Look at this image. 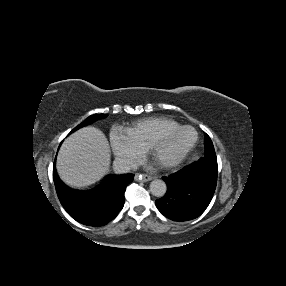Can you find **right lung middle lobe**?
<instances>
[{"instance_id": "dd1d6c3e", "label": "right lung middle lobe", "mask_w": 286, "mask_h": 286, "mask_svg": "<svg viewBox=\"0 0 286 286\" xmlns=\"http://www.w3.org/2000/svg\"><path fill=\"white\" fill-rule=\"evenodd\" d=\"M106 116H107V114H94V115H91V116H89L88 118H86L81 124H79L77 127H75V128L71 131V133L74 132L75 130L81 128V127H84V126H86V125L92 123L95 119L104 118V117H106Z\"/></svg>"}]
</instances>
